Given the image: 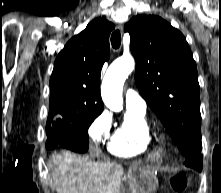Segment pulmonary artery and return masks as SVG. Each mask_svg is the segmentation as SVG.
<instances>
[{
    "label": "pulmonary artery",
    "instance_id": "1",
    "mask_svg": "<svg viewBox=\"0 0 221 193\" xmlns=\"http://www.w3.org/2000/svg\"><path fill=\"white\" fill-rule=\"evenodd\" d=\"M126 107L129 110L144 112L146 110V103L141 96L134 90L128 89L125 93Z\"/></svg>",
    "mask_w": 221,
    "mask_h": 193
}]
</instances>
